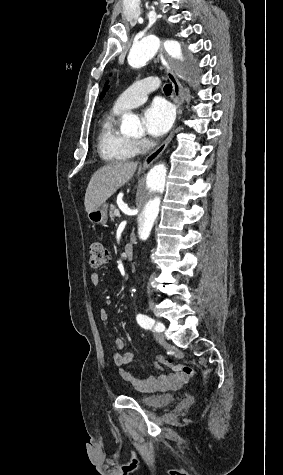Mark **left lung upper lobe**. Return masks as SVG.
Wrapping results in <instances>:
<instances>
[{
	"label": "left lung upper lobe",
	"mask_w": 283,
	"mask_h": 475,
	"mask_svg": "<svg viewBox=\"0 0 283 475\" xmlns=\"http://www.w3.org/2000/svg\"><path fill=\"white\" fill-rule=\"evenodd\" d=\"M108 88H109L108 84H107V83H105V86H104V89H103V90H104V92H105V91H107V90H108ZM104 95H105V94H104V93H102V94L100 95V99H102V98L104 97Z\"/></svg>",
	"instance_id": "left-lung-upper-lobe-1"
}]
</instances>
